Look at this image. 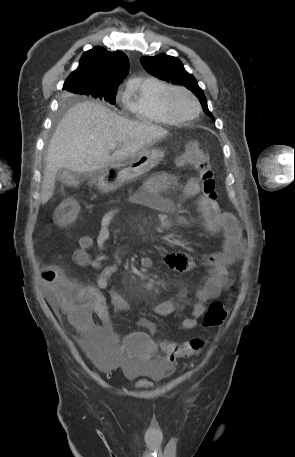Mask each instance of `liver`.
Returning a JSON list of instances; mask_svg holds the SVG:
<instances>
[{
	"label": "liver",
	"instance_id": "liver-1",
	"mask_svg": "<svg viewBox=\"0 0 295 457\" xmlns=\"http://www.w3.org/2000/svg\"><path fill=\"white\" fill-rule=\"evenodd\" d=\"M167 134L160 126L124 119L98 103L74 105L58 124L48 146L42 204L53 196L60 169L76 173L97 171L148 148ZM110 143L119 144L112 155Z\"/></svg>",
	"mask_w": 295,
	"mask_h": 457
}]
</instances>
